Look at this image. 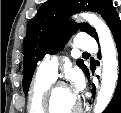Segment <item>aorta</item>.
I'll return each mask as SVG.
<instances>
[{
    "mask_svg": "<svg viewBox=\"0 0 121 113\" xmlns=\"http://www.w3.org/2000/svg\"><path fill=\"white\" fill-rule=\"evenodd\" d=\"M81 17L96 29L99 36L103 71L102 82L94 107V113H101L110 102L118 79L116 46L109 28L103 20L91 13H83L81 14Z\"/></svg>",
    "mask_w": 121,
    "mask_h": 113,
    "instance_id": "obj_1",
    "label": "aorta"
}]
</instances>
